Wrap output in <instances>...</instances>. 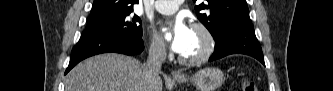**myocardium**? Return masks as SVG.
Masks as SVG:
<instances>
[{
    "mask_svg": "<svg viewBox=\"0 0 333 91\" xmlns=\"http://www.w3.org/2000/svg\"><path fill=\"white\" fill-rule=\"evenodd\" d=\"M191 29L198 32L203 37L204 45L202 50L192 57H187L183 55L179 56V61L186 65H195L208 60L212 56L216 45L215 38L212 32L203 23H193Z\"/></svg>",
    "mask_w": 333,
    "mask_h": 91,
    "instance_id": "obj_1",
    "label": "myocardium"
}]
</instances>
